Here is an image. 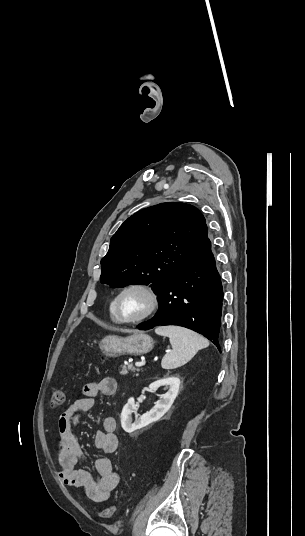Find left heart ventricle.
I'll use <instances>...</instances> for the list:
<instances>
[{"label": "left heart ventricle", "mask_w": 305, "mask_h": 536, "mask_svg": "<svg viewBox=\"0 0 305 536\" xmlns=\"http://www.w3.org/2000/svg\"><path fill=\"white\" fill-rule=\"evenodd\" d=\"M149 307V298L141 289L126 291L119 301V314L123 319H135L142 316Z\"/></svg>", "instance_id": "left-heart-ventricle-1"}]
</instances>
